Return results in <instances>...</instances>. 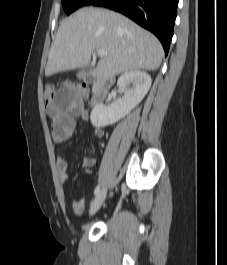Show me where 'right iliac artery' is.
<instances>
[{
  "instance_id": "82829eb1",
  "label": "right iliac artery",
  "mask_w": 227,
  "mask_h": 265,
  "mask_svg": "<svg viewBox=\"0 0 227 265\" xmlns=\"http://www.w3.org/2000/svg\"><path fill=\"white\" fill-rule=\"evenodd\" d=\"M99 191H100V184L97 185V187L95 188L94 195H97Z\"/></svg>"
}]
</instances>
